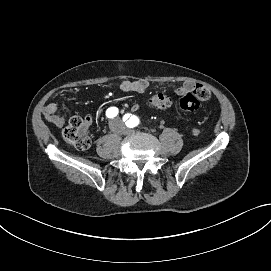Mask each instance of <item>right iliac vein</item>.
Masks as SVG:
<instances>
[{
	"label": "right iliac vein",
	"instance_id": "63e3f726",
	"mask_svg": "<svg viewBox=\"0 0 271 271\" xmlns=\"http://www.w3.org/2000/svg\"><path fill=\"white\" fill-rule=\"evenodd\" d=\"M115 123H116V126H117L118 128H121V129H122V127H121V121L115 120Z\"/></svg>",
	"mask_w": 271,
	"mask_h": 271
}]
</instances>
